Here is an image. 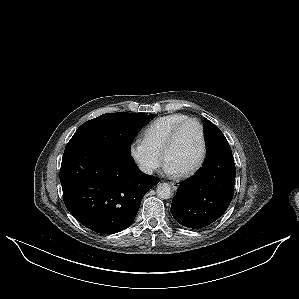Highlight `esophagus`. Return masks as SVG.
<instances>
[{"instance_id":"esophagus-1","label":"esophagus","mask_w":299,"mask_h":299,"mask_svg":"<svg viewBox=\"0 0 299 299\" xmlns=\"http://www.w3.org/2000/svg\"><path fill=\"white\" fill-rule=\"evenodd\" d=\"M170 185L174 190H176L179 186V183L177 181H170Z\"/></svg>"}]
</instances>
